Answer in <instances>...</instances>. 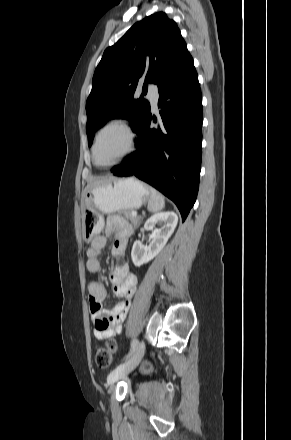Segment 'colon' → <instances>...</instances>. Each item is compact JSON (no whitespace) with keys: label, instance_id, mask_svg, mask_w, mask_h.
<instances>
[{"label":"colon","instance_id":"obj_1","mask_svg":"<svg viewBox=\"0 0 291 440\" xmlns=\"http://www.w3.org/2000/svg\"><path fill=\"white\" fill-rule=\"evenodd\" d=\"M105 323H108V322L105 321ZM117 350H118L117 342L115 340H110L108 342V349L99 348L96 351V356H95L96 364L100 368H107L111 364V361H112L111 355L113 353H115Z\"/></svg>","mask_w":291,"mask_h":440}]
</instances>
